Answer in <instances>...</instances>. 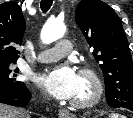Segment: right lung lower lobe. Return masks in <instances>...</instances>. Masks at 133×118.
<instances>
[{"label":"right lung lower lobe","instance_id":"1","mask_svg":"<svg viewBox=\"0 0 133 118\" xmlns=\"http://www.w3.org/2000/svg\"><path fill=\"white\" fill-rule=\"evenodd\" d=\"M31 99V93L23 83L20 86L0 89V103L22 107L26 106Z\"/></svg>","mask_w":133,"mask_h":118}]
</instances>
